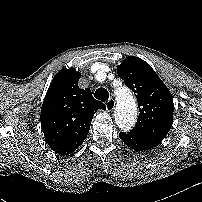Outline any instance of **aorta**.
Listing matches in <instances>:
<instances>
[{
  "mask_svg": "<svg viewBox=\"0 0 202 202\" xmlns=\"http://www.w3.org/2000/svg\"><path fill=\"white\" fill-rule=\"evenodd\" d=\"M117 106L114 117L117 126L123 131H129L137 120V105L128 88H120L116 92Z\"/></svg>",
  "mask_w": 202,
  "mask_h": 202,
  "instance_id": "aorta-1",
  "label": "aorta"
}]
</instances>
